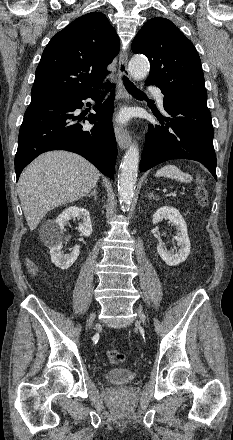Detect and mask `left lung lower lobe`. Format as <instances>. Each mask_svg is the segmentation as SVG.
Wrapping results in <instances>:
<instances>
[{"mask_svg":"<svg viewBox=\"0 0 233 440\" xmlns=\"http://www.w3.org/2000/svg\"><path fill=\"white\" fill-rule=\"evenodd\" d=\"M163 105L168 117L157 115L161 126H149L140 171L170 159H191L201 162L217 180L214 130L207 99L164 94Z\"/></svg>","mask_w":233,"mask_h":440,"instance_id":"1","label":"left lung lower lobe"}]
</instances>
